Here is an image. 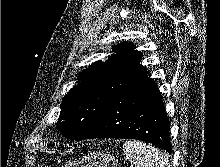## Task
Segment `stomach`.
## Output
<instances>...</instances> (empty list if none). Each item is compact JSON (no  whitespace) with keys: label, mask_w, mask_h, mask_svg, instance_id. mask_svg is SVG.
Listing matches in <instances>:
<instances>
[{"label":"stomach","mask_w":220,"mask_h":167,"mask_svg":"<svg viewBox=\"0 0 220 167\" xmlns=\"http://www.w3.org/2000/svg\"><path fill=\"white\" fill-rule=\"evenodd\" d=\"M64 167H120L114 156L104 152H93L79 160L67 162Z\"/></svg>","instance_id":"0dacf381"}]
</instances>
